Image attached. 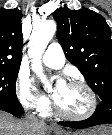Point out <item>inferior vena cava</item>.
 I'll list each match as a JSON object with an SVG mask.
<instances>
[{
    "label": "inferior vena cava",
    "mask_w": 112,
    "mask_h": 135,
    "mask_svg": "<svg viewBox=\"0 0 112 135\" xmlns=\"http://www.w3.org/2000/svg\"><path fill=\"white\" fill-rule=\"evenodd\" d=\"M26 121L29 122V123L38 122L37 118H35L34 115H27L26 116Z\"/></svg>",
    "instance_id": "602c4592"
}]
</instances>
